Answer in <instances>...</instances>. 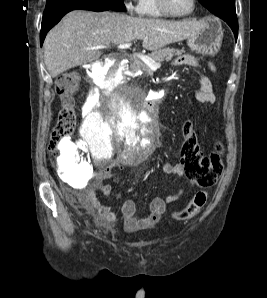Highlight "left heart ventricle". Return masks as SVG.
I'll use <instances>...</instances> for the list:
<instances>
[{
  "label": "left heart ventricle",
  "mask_w": 267,
  "mask_h": 298,
  "mask_svg": "<svg viewBox=\"0 0 267 298\" xmlns=\"http://www.w3.org/2000/svg\"><path fill=\"white\" fill-rule=\"evenodd\" d=\"M168 7L177 14L186 13L190 10L192 0H166Z\"/></svg>",
  "instance_id": "obj_1"
}]
</instances>
